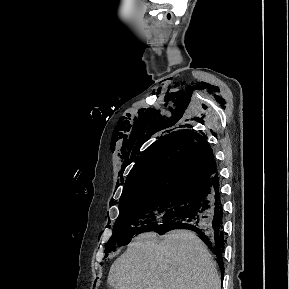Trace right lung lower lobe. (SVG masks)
Listing matches in <instances>:
<instances>
[{"label": "right lung lower lobe", "instance_id": "98d812e1", "mask_svg": "<svg viewBox=\"0 0 289 289\" xmlns=\"http://www.w3.org/2000/svg\"><path fill=\"white\" fill-rule=\"evenodd\" d=\"M196 195V201L188 212L167 223L163 228L156 230V232L164 234L174 229H188L196 232L200 239L216 255L221 273L223 274V208L219 192V180Z\"/></svg>", "mask_w": 289, "mask_h": 289}]
</instances>
